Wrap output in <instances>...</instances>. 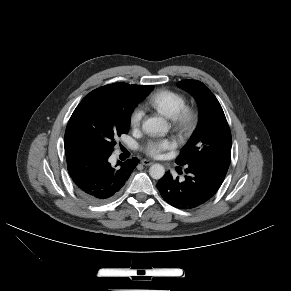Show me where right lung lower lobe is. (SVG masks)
<instances>
[{"mask_svg": "<svg viewBox=\"0 0 291 291\" xmlns=\"http://www.w3.org/2000/svg\"><path fill=\"white\" fill-rule=\"evenodd\" d=\"M111 153L98 149H77L66 153L68 172L85 200L101 203L113 199L139 162L132 158L117 162L113 167L108 161Z\"/></svg>", "mask_w": 291, "mask_h": 291, "instance_id": "right-lung-lower-lobe-1", "label": "right lung lower lobe"}]
</instances>
